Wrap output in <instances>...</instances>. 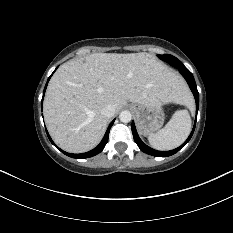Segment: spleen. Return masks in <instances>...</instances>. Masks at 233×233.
I'll list each match as a JSON object with an SVG mask.
<instances>
[{"mask_svg": "<svg viewBox=\"0 0 233 233\" xmlns=\"http://www.w3.org/2000/svg\"><path fill=\"white\" fill-rule=\"evenodd\" d=\"M191 130L188 110L176 111L166 126L157 133L150 134L148 141L157 150H172L180 146Z\"/></svg>", "mask_w": 233, "mask_h": 233, "instance_id": "spleen-1", "label": "spleen"}]
</instances>
